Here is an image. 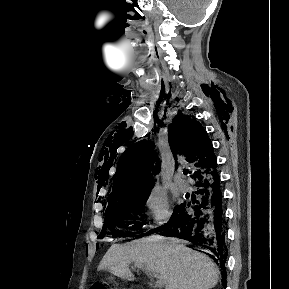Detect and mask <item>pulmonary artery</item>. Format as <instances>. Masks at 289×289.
<instances>
[{
  "mask_svg": "<svg viewBox=\"0 0 289 289\" xmlns=\"http://www.w3.org/2000/svg\"><path fill=\"white\" fill-rule=\"evenodd\" d=\"M175 186L182 192L189 189V184L186 180L183 179L181 174L175 176Z\"/></svg>",
  "mask_w": 289,
  "mask_h": 289,
  "instance_id": "1",
  "label": "pulmonary artery"
}]
</instances>
